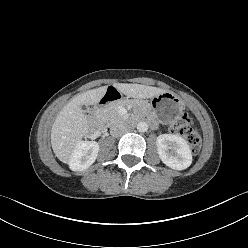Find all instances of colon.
Returning <instances> with one entry per match:
<instances>
[{
	"mask_svg": "<svg viewBox=\"0 0 248 248\" xmlns=\"http://www.w3.org/2000/svg\"><path fill=\"white\" fill-rule=\"evenodd\" d=\"M170 130L173 133L184 136L187 139L193 154H197L200 151L201 138L194 129L193 121L187 113L182 114L176 121H174L170 126Z\"/></svg>",
	"mask_w": 248,
	"mask_h": 248,
	"instance_id": "obj_1",
	"label": "colon"
}]
</instances>
